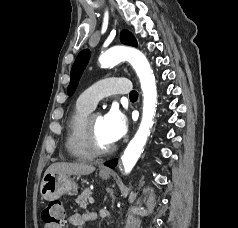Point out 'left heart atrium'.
I'll return each instance as SVG.
<instances>
[{"label":"left heart atrium","mask_w":238,"mask_h":228,"mask_svg":"<svg viewBox=\"0 0 238 228\" xmlns=\"http://www.w3.org/2000/svg\"><path fill=\"white\" fill-rule=\"evenodd\" d=\"M104 130L112 143L120 140L127 132L126 116L117 108H111L103 117Z\"/></svg>","instance_id":"left-heart-atrium-1"}]
</instances>
